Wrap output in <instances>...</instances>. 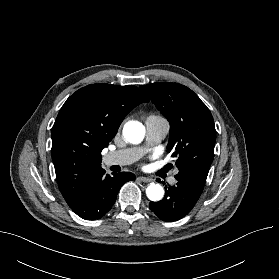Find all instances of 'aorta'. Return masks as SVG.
Returning a JSON list of instances; mask_svg holds the SVG:
<instances>
[{"instance_id":"1","label":"aorta","mask_w":279,"mask_h":279,"mask_svg":"<svg viewBox=\"0 0 279 279\" xmlns=\"http://www.w3.org/2000/svg\"><path fill=\"white\" fill-rule=\"evenodd\" d=\"M123 136L128 142L139 144L144 139L145 128L138 121H129L123 127ZM146 195L151 201H159L164 196V189L160 184L150 183Z\"/></svg>"}]
</instances>
